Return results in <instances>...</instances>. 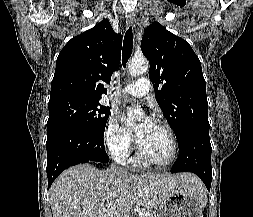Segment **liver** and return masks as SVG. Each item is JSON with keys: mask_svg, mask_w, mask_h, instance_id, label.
Returning a JSON list of instances; mask_svg holds the SVG:
<instances>
[{"mask_svg": "<svg viewBox=\"0 0 253 217\" xmlns=\"http://www.w3.org/2000/svg\"><path fill=\"white\" fill-rule=\"evenodd\" d=\"M179 189L205 195L203 183L191 173L135 176L79 164L53 182L49 197L53 217H125L136 204L157 209Z\"/></svg>", "mask_w": 253, "mask_h": 217, "instance_id": "6515ba94", "label": "liver"}]
</instances>
